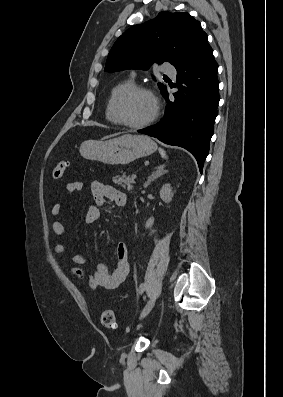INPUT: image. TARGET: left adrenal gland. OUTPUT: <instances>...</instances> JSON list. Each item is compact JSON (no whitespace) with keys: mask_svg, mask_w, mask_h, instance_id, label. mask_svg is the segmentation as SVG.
<instances>
[{"mask_svg":"<svg viewBox=\"0 0 283 397\" xmlns=\"http://www.w3.org/2000/svg\"><path fill=\"white\" fill-rule=\"evenodd\" d=\"M156 171L153 172L148 178L147 181L144 183V188H147L151 182L156 180L158 177L162 176L163 174L167 173V170H164V166H157Z\"/></svg>","mask_w":283,"mask_h":397,"instance_id":"1","label":"left adrenal gland"}]
</instances>
